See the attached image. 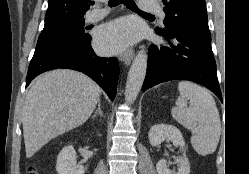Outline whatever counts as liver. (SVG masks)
Listing matches in <instances>:
<instances>
[{"label": "liver", "instance_id": "liver-1", "mask_svg": "<svg viewBox=\"0 0 249 174\" xmlns=\"http://www.w3.org/2000/svg\"><path fill=\"white\" fill-rule=\"evenodd\" d=\"M101 88L83 73L57 69L39 76L22 108L26 157L50 140L84 124L99 100Z\"/></svg>", "mask_w": 249, "mask_h": 174}]
</instances>
